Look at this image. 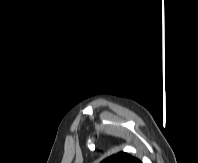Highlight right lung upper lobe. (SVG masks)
<instances>
[{
    "label": "right lung upper lobe",
    "mask_w": 198,
    "mask_h": 163,
    "mask_svg": "<svg viewBox=\"0 0 198 163\" xmlns=\"http://www.w3.org/2000/svg\"><path fill=\"white\" fill-rule=\"evenodd\" d=\"M101 163H141V161L128 153L119 152L104 159Z\"/></svg>",
    "instance_id": "obj_1"
}]
</instances>
